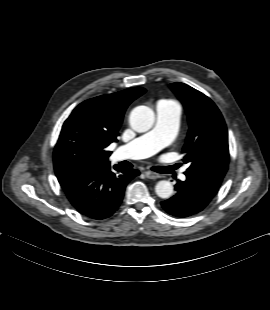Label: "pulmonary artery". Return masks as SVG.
Returning <instances> with one entry per match:
<instances>
[{"label": "pulmonary artery", "instance_id": "pulmonary-artery-1", "mask_svg": "<svg viewBox=\"0 0 270 310\" xmlns=\"http://www.w3.org/2000/svg\"><path fill=\"white\" fill-rule=\"evenodd\" d=\"M155 114V125L150 131L119 148L126 158H147L173 141L180 115L179 106L173 102L159 101Z\"/></svg>", "mask_w": 270, "mask_h": 310}]
</instances>
